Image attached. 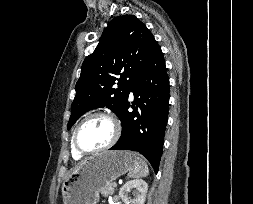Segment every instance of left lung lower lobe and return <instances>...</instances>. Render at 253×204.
I'll list each match as a JSON object with an SVG mask.
<instances>
[{
  "label": "left lung lower lobe",
  "instance_id": "obj_1",
  "mask_svg": "<svg viewBox=\"0 0 253 204\" xmlns=\"http://www.w3.org/2000/svg\"><path fill=\"white\" fill-rule=\"evenodd\" d=\"M130 92L134 94L133 104L136 106L132 105L133 111L129 112V103L124 105L119 116L122 134L110 150L138 151L148 159L157 173L169 109V78L158 44L152 48Z\"/></svg>",
  "mask_w": 253,
  "mask_h": 204
}]
</instances>
